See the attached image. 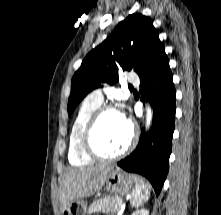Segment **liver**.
<instances>
[{"instance_id":"obj_1","label":"liver","mask_w":221,"mask_h":215,"mask_svg":"<svg viewBox=\"0 0 221 215\" xmlns=\"http://www.w3.org/2000/svg\"><path fill=\"white\" fill-rule=\"evenodd\" d=\"M112 169V166L103 164L67 171L59 190L61 211L73 201L90 197L99 191Z\"/></svg>"}]
</instances>
